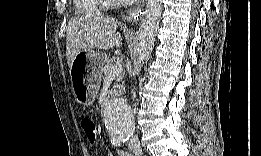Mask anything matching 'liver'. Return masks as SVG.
I'll list each match as a JSON object with an SVG mask.
<instances>
[{
	"label": "liver",
	"instance_id": "liver-1",
	"mask_svg": "<svg viewBox=\"0 0 261 156\" xmlns=\"http://www.w3.org/2000/svg\"><path fill=\"white\" fill-rule=\"evenodd\" d=\"M118 21L104 15H86L69 20L66 37V57L71 69L74 58L82 50L94 52L122 46V37L117 32Z\"/></svg>",
	"mask_w": 261,
	"mask_h": 156
}]
</instances>
